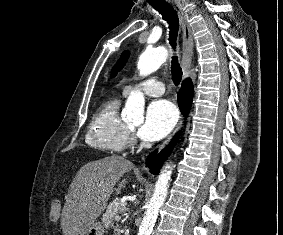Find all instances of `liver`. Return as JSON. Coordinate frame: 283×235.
<instances>
[{
  "mask_svg": "<svg viewBox=\"0 0 283 235\" xmlns=\"http://www.w3.org/2000/svg\"><path fill=\"white\" fill-rule=\"evenodd\" d=\"M134 164L117 155L82 166L70 184L61 216L63 235H86L105 210L114 186ZM126 185L118 184L117 193Z\"/></svg>",
  "mask_w": 283,
  "mask_h": 235,
  "instance_id": "liver-1",
  "label": "liver"
}]
</instances>
